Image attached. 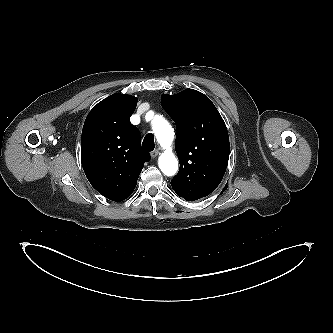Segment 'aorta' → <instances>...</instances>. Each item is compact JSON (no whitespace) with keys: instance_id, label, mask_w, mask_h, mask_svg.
<instances>
[{"instance_id":"1","label":"aorta","mask_w":333,"mask_h":333,"mask_svg":"<svg viewBox=\"0 0 333 333\" xmlns=\"http://www.w3.org/2000/svg\"><path fill=\"white\" fill-rule=\"evenodd\" d=\"M153 131L157 141L165 149L158 160L159 168L165 175L172 176L178 170V160L170 150L174 139L173 130L168 121L159 117L153 121Z\"/></svg>"}]
</instances>
